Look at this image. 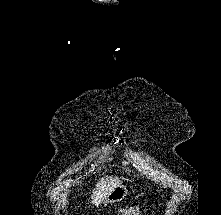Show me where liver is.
<instances>
[{
    "label": "liver",
    "instance_id": "obj_1",
    "mask_svg": "<svg viewBox=\"0 0 221 215\" xmlns=\"http://www.w3.org/2000/svg\"><path fill=\"white\" fill-rule=\"evenodd\" d=\"M122 181L118 177L106 176L102 178L94 188L91 195V203L99 205Z\"/></svg>",
    "mask_w": 221,
    "mask_h": 215
}]
</instances>
